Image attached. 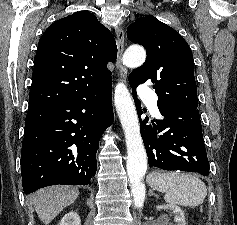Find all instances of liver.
<instances>
[{
    "instance_id": "liver-1",
    "label": "liver",
    "mask_w": 237,
    "mask_h": 225,
    "mask_svg": "<svg viewBox=\"0 0 237 225\" xmlns=\"http://www.w3.org/2000/svg\"><path fill=\"white\" fill-rule=\"evenodd\" d=\"M79 191L70 186H51L39 189L30 196V202L40 220L48 225L65 207L72 204Z\"/></svg>"
}]
</instances>
